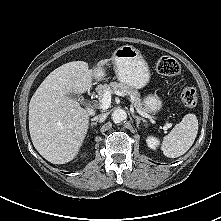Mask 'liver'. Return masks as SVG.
<instances>
[{"label": "liver", "instance_id": "6515ba94", "mask_svg": "<svg viewBox=\"0 0 221 221\" xmlns=\"http://www.w3.org/2000/svg\"><path fill=\"white\" fill-rule=\"evenodd\" d=\"M108 60L98 63L103 66ZM88 63L73 61L56 68L40 84L29 103V132L38 153L53 164H65L78 154L89 126V114L67 95L91 88Z\"/></svg>", "mask_w": 221, "mask_h": 221}]
</instances>
